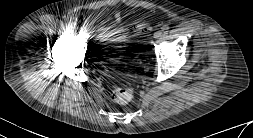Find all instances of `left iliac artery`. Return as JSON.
<instances>
[{
  "instance_id": "left-iliac-artery-1",
  "label": "left iliac artery",
  "mask_w": 253,
  "mask_h": 138,
  "mask_svg": "<svg viewBox=\"0 0 253 138\" xmlns=\"http://www.w3.org/2000/svg\"><path fill=\"white\" fill-rule=\"evenodd\" d=\"M161 29H162V31L167 32V31H168V29H169V26L164 25Z\"/></svg>"
}]
</instances>
